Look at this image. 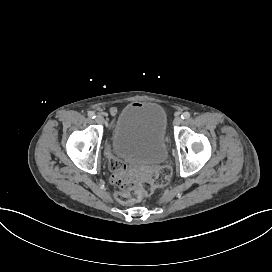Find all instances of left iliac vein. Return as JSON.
Returning <instances> with one entry per match:
<instances>
[{"mask_svg": "<svg viewBox=\"0 0 272 272\" xmlns=\"http://www.w3.org/2000/svg\"><path fill=\"white\" fill-rule=\"evenodd\" d=\"M182 121V118L180 116H176L174 119V125H179Z\"/></svg>", "mask_w": 272, "mask_h": 272, "instance_id": "4c4485c4", "label": "left iliac vein"}]
</instances>
